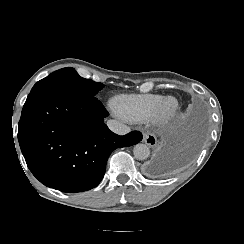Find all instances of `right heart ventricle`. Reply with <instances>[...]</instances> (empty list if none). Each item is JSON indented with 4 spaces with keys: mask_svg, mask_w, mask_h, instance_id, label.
Here are the masks:
<instances>
[{
    "mask_svg": "<svg viewBox=\"0 0 244 244\" xmlns=\"http://www.w3.org/2000/svg\"><path fill=\"white\" fill-rule=\"evenodd\" d=\"M160 96L123 95L114 101L115 114L128 122H147L156 111Z\"/></svg>",
    "mask_w": 244,
    "mask_h": 244,
    "instance_id": "e07e8e85",
    "label": "right heart ventricle"
}]
</instances>
